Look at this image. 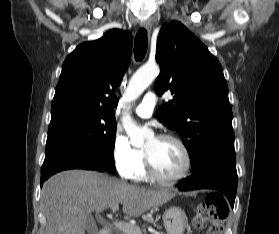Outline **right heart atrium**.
<instances>
[{"instance_id":"d8ad5b80","label":"right heart atrium","mask_w":279,"mask_h":234,"mask_svg":"<svg viewBox=\"0 0 279 234\" xmlns=\"http://www.w3.org/2000/svg\"><path fill=\"white\" fill-rule=\"evenodd\" d=\"M112 161L123 178H131L139 161L140 151L133 147L122 131L117 130L112 140Z\"/></svg>"}]
</instances>
